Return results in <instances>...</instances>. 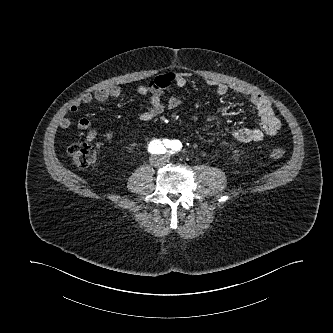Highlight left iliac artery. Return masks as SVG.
Wrapping results in <instances>:
<instances>
[{
  "label": "left iliac artery",
  "mask_w": 333,
  "mask_h": 333,
  "mask_svg": "<svg viewBox=\"0 0 333 333\" xmlns=\"http://www.w3.org/2000/svg\"><path fill=\"white\" fill-rule=\"evenodd\" d=\"M171 148H172L173 152H176L178 149H180V147L175 144H172Z\"/></svg>",
  "instance_id": "obj_1"
}]
</instances>
